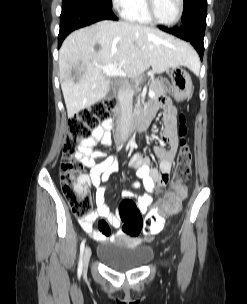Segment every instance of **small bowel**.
<instances>
[{
	"instance_id": "c3829d8e",
	"label": "small bowel",
	"mask_w": 247,
	"mask_h": 304,
	"mask_svg": "<svg viewBox=\"0 0 247 304\" xmlns=\"http://www.w3.org/2000/svg\"><path fill=\"white\" fill-rule=\"evenodd\" d=\"M149 109L157 112L159 108L164 111L162 137L167 141L168 148L155 147V154L159 159L158 168L150 166V159L146 155L135 154L129 160V166L136 169L138 180L132 182L128 189L122 191L123 198L137 199V205L140 213L147 212L148 207L153 202V194L158 187H164L171 172L172 164L176 156L179 140L177 134V111L173 104L161 99L149 104ZM113 121L106 119L101 125L97 126L91 136L84 139L75 153V158L85 167L89 168V174L86 175L87 183L96 188L95 203L96 209L83 220L80 225L83 230L96 241L116 240L122 238L125 234L123 231H117L111 235L110 226L119 228L121 219L114 214L108 206L106 200V188L103 185L112 174L118 171V163L113 158H105L104 151L96 149L98 144L110 146L112 143L111 129ZM104 159V160H102ZM142 186L145 194L136 195L134 189ZM177 212V211H176ZM102 218L98 229L93 228V222Z\"/></svg>"
}]
</instances>
